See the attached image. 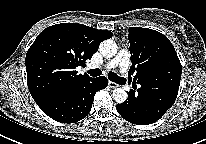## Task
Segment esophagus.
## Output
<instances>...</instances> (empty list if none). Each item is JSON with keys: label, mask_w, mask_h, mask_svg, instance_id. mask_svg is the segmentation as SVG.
Segmentation results:
<instances>
[{"label": "esophagus", "mask_w": 206, "mask_h": 144, "mask_svg": "<svg viewBox=\"0 0 206 144\" xmlns=\"http://www.w3.org/2000/svg\"><path fill=\"white\" fill-rule=\"evenodd\" d=\"M109 86L111 87V88H116V87H118V84L117 83H115V82H113V81H109Z\"/></svg>", "instance_id": "34e87169"}]
</instances>
